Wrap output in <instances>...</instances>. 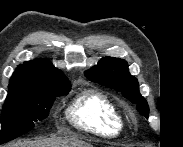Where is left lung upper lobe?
Here are the masks:
<instances>
[{"label": "left lung upper lobe", "instance_id": "obj_1", "mask_svg": "<svg viewBox=\"0 0 183 147\" xmlns=\"http://www.w3.org/2000/svg\"><path fill=\"white\" fill-rule=\"evenodd\" d=\"M85 76L92 82L114 88L136 104L138 111L148 118V103L140 94L138 80L129 73L128 64L125 60L105 57L96 66L86 71Z\"/></svg>", "mask_w": 183, "mask_h": 147}]
</instances>
